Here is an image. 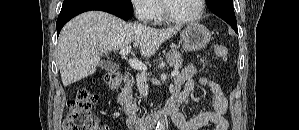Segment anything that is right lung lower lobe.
<instances>
[{
  "label": "right lung lower lobe",
  "instance_id": "obj_1",
  "mask_svg": "<svg viewBox=\"0 0 299 130\" xmlns=\"http://www.w3.org/2000/svg\"><path fill=\"white\" fill-rule=\"evenodd\" d=\"M91 10L105 11L124 20L133 14L131 3L124 0H64L56 23L57 34L71 18Z\"/></svg>",
  "mask_w": 299,
  "mask_h": 130
}]
</instances>
